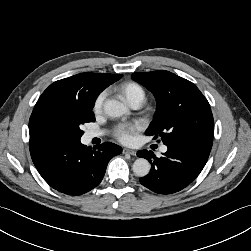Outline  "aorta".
<instances>
[{"instance_id": "762f6f07", "label": "aorta", "mask_w": 251, "mask_h": 251, "mask_svg": "<svg viewBox=\"0 0 251 251\" xmlns=\"http://www.w3.org/2000/svg\"><path fill=\"white\" fill-rule=\"evenodd\" d=\"M104 112L109 117H121L128 112V108L118 100L109 99L104 103ZM150 163L144 158H138L133 163V172L139 177H145L150 171Z\"/></svg>"}]
</instances>
